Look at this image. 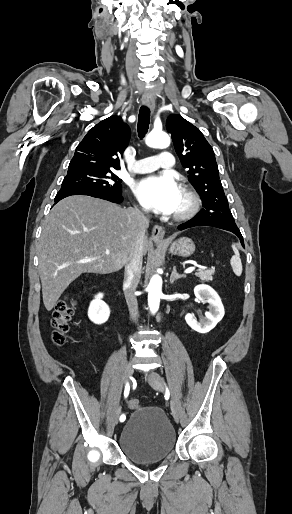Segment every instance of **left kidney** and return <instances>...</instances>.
Wrapping results in <instances>:
<instances>
[{"instance_id": "obj_1", "label": "left kidney", "mask_w": 292, "mask_h": 514, "mask_svg": "<svg viewBox=\"0 0 292 514\" xmlns=\"http://www.w3.org/2000/svg\"><path fill=\"white\" fill-rule=\"evenodd\" d=\"M194 294L200 302L203 304H209V312H205V318H200L195 320L193 314H186L185 320L195 332H199V334H207L210 330L215 328L216 324L222 320L224 316V306L215 290L211 288V286H206V284H200V286H196L194 288Z\"/></svg>"}]
</instances>
